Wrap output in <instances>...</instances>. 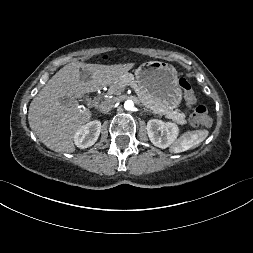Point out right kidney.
Segmentation results:
<instances>
[{"label":"right kidney","instance_id":"ca27d5eb","mask_svg":"<svg viewBox=\"0 0 253 253\" xmlns=\"http://www.w3.org/2000/svg\"><path fill=\"white\" fill-rule=\"evenodd\" d=\"M101 132V122L98 120L90 121L80 127L75 135L74 142L81 149L88 148L97 141Z\"/></svg>","mask_w":253,"mask_h":253}]
</instances>
